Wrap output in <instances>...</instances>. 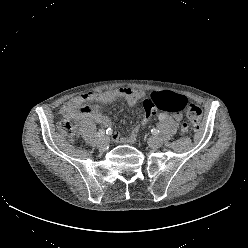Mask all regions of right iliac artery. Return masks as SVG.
Listing matches in <instances>:
<instances>
[{"instance_id":"82829eb1","label":"right iliac artery","mask_w":248,"mask_h":248,"mask_svg":"<svg viewBox=\"0 0 248 248\" xmlns=\"http://www.w3.org/2000/svg\"><path fill=\"white\" fill-rule=\"evenodd\" d=\"M108 131V130H107ZM107 131H106V133H107ZM104 134H105V131L103 130V129H100L99 131H98V133H97V136L98 137H103L104 136Z\"/></svg>"}]
</instances>
